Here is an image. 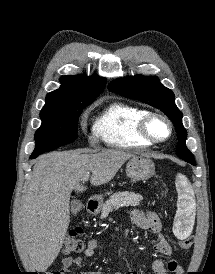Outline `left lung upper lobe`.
I'll return each mask as SVG.
<instances>
[{"label": "left lung upper lobe", "mask_w": 215, "mask_h": 274, "mask_svg": "<svg viewBox=\"0 0 215 274\" xmlns=\"http://www.w3.org/2000/svg\"><path fill=\"white\" fill-rule=\"evenodd\" d=\"M108 89L122 96L142 101L164 112L174 123L178 134L176 154L186 162H195L192 153L186 147L187 131L182 124V113L175 105L174 93L164 87L159 79L152 76H129L115 79L108 85Z\"/></svg>", "instance_id": "1"}]
</instances>
